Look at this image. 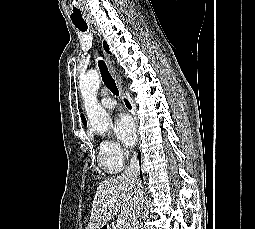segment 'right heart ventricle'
<instances>
[{
    "mask_svg": "<svg viewBox=\"0 0 255 229\" xmlns=\"http://www.w3.org/2000/svg\"><path fill=\"white\" fill-rule=\"evenodd\" d=\"M100 160H101V164L102 166L109 172L111 173H117L119 171H121L122 169V166L123 165H110V164H107L103 158H102V155L100 154Z\"/></svg>",
    "mask_w": 255,
    "mask_h": 229,
    "instance_id": "right-heart-ventricle-1",
    "label": "right heart ventricle"
}]
</instances>
